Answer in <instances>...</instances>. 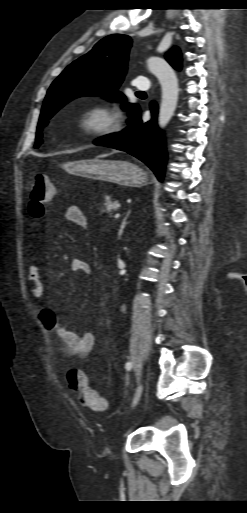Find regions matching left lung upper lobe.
<instances>
[{
    "label": "left lung upper lobe",
    "instance_id": "5c2ea615",
    "mask_svg": "<svg viewBox=\"0 0 247 513\" xmlns=\"http://www.w3.org/2000/svg\"><path fill=\"white\" fill-rule=\"evenodd\" d=\"M131 43V38L127 35H109L100 40L86 55L67 66L54 80L43 102L35 148L42 143V127L58 109L72 99L83 95H104L110 100L124 101V96L117 89L127 71ZM166 59L174 68L181 66L180 50L174 47L166 54ZM136 106L123 105L129 111H133Z\"/></svg>",
    "mask_w": 247,
    "mask_h": 513
}]
</instances>
